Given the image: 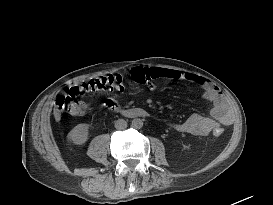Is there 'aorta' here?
<instances>
[{
	"label": "aorta",
	"instance_id": "762f6f07",
	"mask_svg": "<svg viewBox=\"0 0 273 205\" xmlns=\"http://www.w3.org/2000/svg\"><path fill=\"white\" fill-rule=\"evenodd\" d=\"M131 126L134 129H140L143 126V121L140 118H135V119L132 120Z\"/></svg>",
	"mask_w": 273,
	"mask_h": 205
}]
</instances>
